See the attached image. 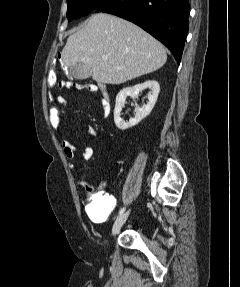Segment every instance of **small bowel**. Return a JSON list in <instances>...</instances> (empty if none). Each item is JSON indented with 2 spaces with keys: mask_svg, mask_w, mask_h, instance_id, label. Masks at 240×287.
Segmentation results:
<instances>
[{
  "mask_svg": "<svg viewBox=\"0 0 240 287\" xmlns=\"http://www.w3.org/2000/svg\"><path fill=\"white\" fill-rule=\"evenodd\" d=\"M88 91L96 92V87L89 85ZM101 106L103 110V116L106 117L110 113V104L106 99H101ZM87 134L96 138L97 133L92 127H87ZM62 148L65 156L70 160L69 166L74 169V158L77 153L75 145L68 139L64 138L61 141ZM93 156V148L91 146H85L81 152V157L83 160H89ZM101 184L95 189V192L91 194L88 198V202L85 206V212L88 218L95 223L103 222L115 209L116 198L113 195L102 192Z\"/></svg>",
  "mask_w": 240,
  "mask_h": 287,
  "instance_id": "small-bowel-1",
  "label": "small bowel"
}]
</instances>
